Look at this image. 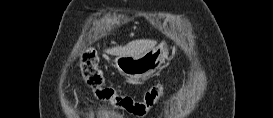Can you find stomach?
Masks as SVG:
<instances>
[{
  "label": "stomach",
  "instance_id": "1",
  "mask_svg": "<svg viewBox=\"0 0 273 118\" xmlns=\"http://www.w3.org/2000/svg\"><path fill=\"white\" fill-rule=\"evenodd\" d=\"M169 59L165 42L138 56H117L114 59L116 68L126 77L140 80L147 78L158 70Z\"/></svg>",
  "mask_w": 273,
  "mask_h": 118
}]
</instances>
